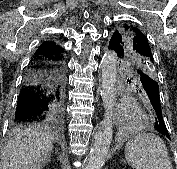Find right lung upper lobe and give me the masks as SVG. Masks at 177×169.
I'll return each instance as SVG.
<instances>
[{
  "label": "right lung upper lobe",
  "mask_w": 177,
  "mask_h": 169,
  "mask_svg": "<svg viewBox=\"0 0 177 169\" xmlns=\"http://www.w3.org/2000/svg\"><path fill=\"white\" fill-rule=\"evenodd\" d=\"M63 48L56 45L54 42L46 41L43 42L36 52H43L48 56L55 57L57 59H62Z\"/></svg>",
  "instance_id": "right-lung-upper-lobe-1"
}]
</instances>
